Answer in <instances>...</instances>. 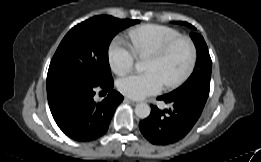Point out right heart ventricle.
<instances>
[{"instance_id":"e07e8e85","label":"right heart ventricle","mask_w":261,"mask_h":162,"mask_svg":"<svg viewBox=\"0 0 261 162\" xmlns=\"http://www.w3.org/2000/svg\"><path fill=\"white\" fill-rule=\"evenodd\" d=\"M180 36L181 34L176 29L159 24H145L127 32L130 47L137 57L148 55L151 51Z\"/></svg>"}]
</instances>
